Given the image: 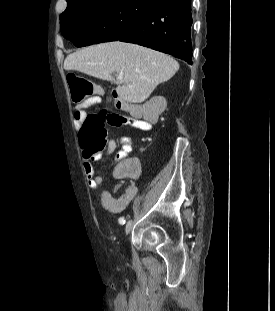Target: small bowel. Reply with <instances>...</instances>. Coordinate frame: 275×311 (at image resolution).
Wrapping results in <instances>:
<instances>
[{"mask_svg": "<svg viewBox=\"0 0 275 311\" xmlns=\"http://www.w3.org/2000/svg\"><path fill=\"white\" fill-rule=\"evenodd\" d=\"M96 97V96H95ZM96 104H79L74 111L75 124L80 128L87 116L86 109L94 106ZM126 110L132 112V116H124V121L121 125H129L133 128L148 131L153 128V120H144L138 117L135 113V109L128 105L122 106ZM118 142L121 146V149L115 156L114 163L118 164V169H112L111 174L115 176L116 180H139L140 174L138 171H142L143 166L139 164L138 159L134 158L133 155H128L132 149V139L129 136H122L118 139ZM111 147L107 150V153L110 154L116 147V142L110 140ZM102 154H91V152L83 148L81 152V158L83 161V170L87 178V182L90 188L97 189L101 186L103 182V176L96 174L93 163L101 158ZM125 159V160H124ZM113 187H105L102 196L103 204L99 206V213H107L108 216H115L116 212L122 211L127 203L135 196L137 188L134 184H131L126 194L119 199H114L111 197L113 194Z\"/></svg>", "mask_w": 275, "mask_h": 311, "instance_id": "obj_1", "label": "small bowel"}]
</instances>
